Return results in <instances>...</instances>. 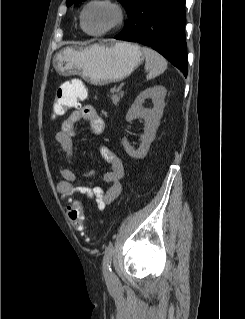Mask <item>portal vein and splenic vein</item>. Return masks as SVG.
<instances>
[{
	"label": "portal vein and splenic vein",
	"instance_id": "obj_1",
	"mask_svg": "<svg viewBox=\"0 0 245 319\" xmlns=\"http://www.w3.org/2000/svg\"><path fill=\"white\" fill-rule=\"evenodd\" d=\"M115 90H116V91H119V90H120V88H116Z\"/></svg>",
	"mask_w": 245,
	"mask_h": 319
}]
</instances>
